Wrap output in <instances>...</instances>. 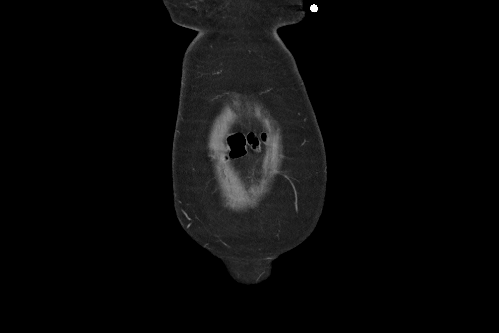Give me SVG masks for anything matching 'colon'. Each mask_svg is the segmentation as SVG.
Wrapping results in <instances>:
<instances>
[{"mask_svg":"<svg viewBox=\"0 0 499 333\" xmlns=\"http://www.w3.org/2000/svg\"><path fill=\"white\" fill-rule=\"evenodd\" d=\"M265 139L262 135L260 138L254 135H236L233 136L229 141L230 153L234 157H239L245 154L248 147L252 149H257L259 142Z\"/></svg>","mask_w":499,"mask_h":333,"instance_id":"colon-1","label":"colon"}]
</instances>
